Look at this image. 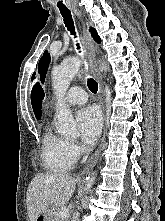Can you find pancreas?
Segmentation results:
<instances>
[{
	"label": "pancreas",
	"instance_id": "1",
	"mask_svg": "<svg viewBox=\"0 0 165 221\" xmlns=\"http://www.w3.org/2000/svg\"><path fill=\"white\" fill-rule=\"evenodd\" d=\"M63 208L62 206L60 207H57L55 208V211H54V214H53V217H54V221H68V218H62L60 213H59V210Z\"/></svg>",
	"mask_w": 165,
	"mask_h": 221
}]
</instances>
